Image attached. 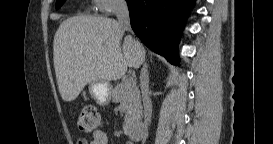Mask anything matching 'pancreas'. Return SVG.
I'll use <instances>...</instances> for the list:
<instances>
[{"label": "pancreas", "mask_w": 273, "mask_h": 144, "mask_svg": "<svg viewBox=\"0 0 273 144\" xmlns=\"http://www.w3.org/2000/svg\"><path fill=\"white\" fill-rule=\"evenodd\" d=\"M111 97L114 103H121L125 108L124 125L132 126L141 118L140 92L136 87H128L127 80L117 85L111 90Z\"/></svg>", "instance_id": "obj_1"}]
</instances>
